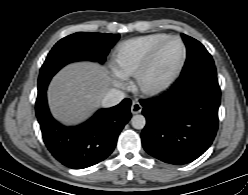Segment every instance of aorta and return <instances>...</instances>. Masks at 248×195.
Segmentation results:
<instances>
[{
    "label": "aorta",
    "instance_id": "762f6f07",
    "mask_svg": "<svg viewBox=\"0 0 248 195\" xmlns=\"http://www.w3.org/2000/svg\"><path fill=\"white\" fill-rule=\"evenodd\" d=\"M131 124L135 129H143L146 125V119L143 115H134L131 118Z\"/></svg>",
    "mask_w": 248,
    "mask_h": 195
}]
</instances>
